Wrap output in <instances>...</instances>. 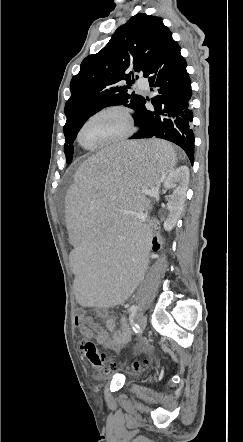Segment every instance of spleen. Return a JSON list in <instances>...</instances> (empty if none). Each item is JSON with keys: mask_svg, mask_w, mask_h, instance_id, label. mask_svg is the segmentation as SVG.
<instances>
[{"mask_svg": "<svg viewBox=\"0 0 243 442\" xmlns=\"http://www.w3.org/2000/svg\"><path fill=\"white\" fill-rule=\"evenodd\" d=\"M166 141H129L100 147L79 163L65 200L75 302L80 307H119L140 291L152 253L142 224L150 184H160L176 165ZM121 192V193H99Z\"/></svg>", "mask_w": 243, "mask_h": 442, "instance_id": "3e777b00", "label": "spleen"}]
</instances>
